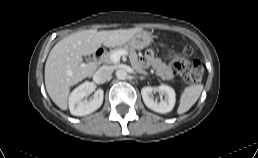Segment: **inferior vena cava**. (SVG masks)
Listing matches in <instances>:
<instances>
[{
  "label": "inferior vena cava",
  "instance_id": "inferior-vena-cava-1",
  "mask_svg": "<svg viewBox=\"0 0 258 158\" xmlns=\"http://www.w3.org/2000/svg\"><path fill=\"white\" fill-rule=\"evenodd\" d=\"M113 70L109 66L100 67L94 74L93 80L96 83H104L110 79Z\"/></svg>",
  "mask_w": 258,
  "mask_h": 158
}]
</instances>
